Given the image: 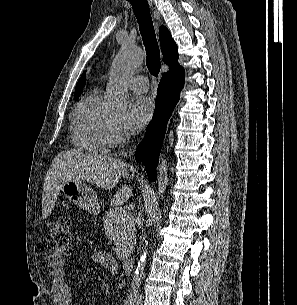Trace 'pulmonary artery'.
Returning <instances> with one entry per match:
<instances>
[{"label": "pulmonary artery", "mask_w": 297, "mask_h": 305, "mask_svg": "<svg viewBox=\"0 0 297 305\" xmlns=\"http://www.w3.org/2000/svg\"><path fill=\"white\" fill-rule=\"evenodd\" d=\"M128 84L131 90L138 93H145L149 89L148 80L142 75L132 77Z\"/></svg>", "instance_id": "pulmonary-artery-1"}]
</instances>
